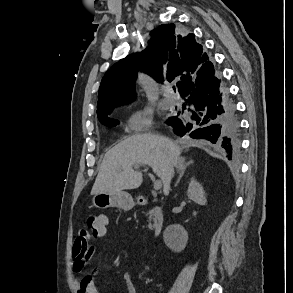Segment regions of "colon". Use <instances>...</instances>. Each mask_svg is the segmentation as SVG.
<instances>
[{
	"mask_svg": "<svg viewBox=\"0 0 293 293\" xmlns=\"http://www.w3.org/2000/svg\"><path fill=\"white\" fill-rule=\"evenodd\" d=\"M107 225V218L101 214H89L85 218V227L97 236L104 232Z\"/></svg>",
	"mask_w": 293,
	"mask_h": 293,
	"instance_id": "colon-1",
	"label": "colon"
}]
</instances>
